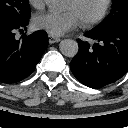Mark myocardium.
I'll return each instance as SVG.
<instances>
[{
    "instance_id": "obj_1",
    "label": "myocardium",
    "mask_w": 128,
    "mask_h": 128,
    "mask_svg": "<svg viewBox=\"0 0 128 128\" xmlns=\"http://www.w3.org/2000/svg\"><path fill=\"white\" fill-rule=\"evenodd\" d=\"M72 1L74 3H78L81 0H72ZM112 4H113V0H104V3L102 5L101 9L99 10V12L90 19L81 20L80 21L81 25L85 28H90V27H93V26L99 24L106 17Z\"/></svg>"
}]
</instances>
